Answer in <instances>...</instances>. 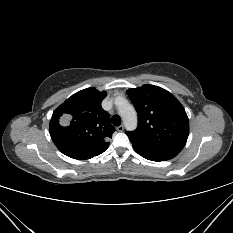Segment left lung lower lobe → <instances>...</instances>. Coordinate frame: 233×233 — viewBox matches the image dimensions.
Here are the masks:
<instances>
[{
	"mask_svg": "<svg viewBox=\"0 0 233 233\" xmlns=\"http://www.w3.org/2000/svg\"><path fill=\"white\" fill-rule=\"evenodd\" d=\"M138 154H140L142 157L148 159V160H151V161H166L168 159H164V158H161V157H158V156H155V155H151V154H148V153H144V152H141V151H137L135 150Z\"/></svg>",
	"mask_w": 233,
	"mask_h": 233,
	"instance_id": "0a47b994",
	"label": "left lung lower lobe"
}]
</instances>
